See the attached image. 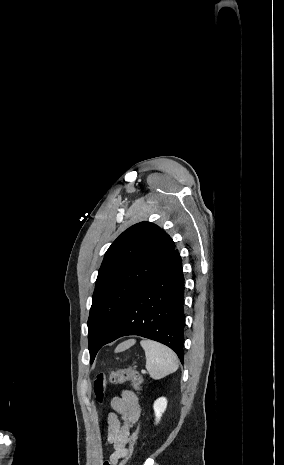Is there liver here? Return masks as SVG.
<instances>
[{"label":"liver","mask_w":284,"mask_h":465,"mask_svg":"<svg viewBox=\"0 0 284 465\" xmlns=\"http://www.w3.org/2000/svg\"><path fill=\"white\" fill-rule=\"evenodd\" d=\"M135 343V339H129V341H124V343H120V345L116 347L115 353H122V351H126V349H130V347H133Z\"/></svg>","instance_id":"1"}]
</instances>
